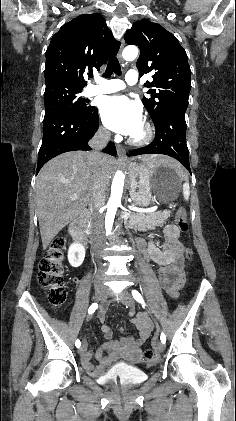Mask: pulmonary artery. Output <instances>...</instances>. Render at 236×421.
<instances>
[{
  "mask_svg": "<svg viewBox=\"0 0 236 421\" xmlns=\"http://www.w3.org/2000/svg\"><path fill=\"white\" fill-rule=\"evenodd\" d=\"M138 71L136 69H129L125 75V81L123 80H110L101 84L92 85L85 89L84 96L92 97L99 94H108L123 90L128 85H135L138 79Z\"/></svg>",
  "mask_w": 236,
  "mask_h": 421,
  "instance_id": "1",
  "label": "pulmonary artery"
}]
</instances>
